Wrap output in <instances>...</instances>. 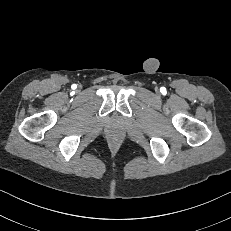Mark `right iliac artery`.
Returning a JSON list of instances; mask_svg holds the SVG:
<instances>
[{
	"instance_id": "82829eb1",
	"label": "right iliac artery",
	"mask_w": 231,
	"mask_h": 231,
	"mask_svg": "<svg viewBox=\"0 0 231 231\" xmlns=\"http://www.w3.org/2000/svg\"><path fill=\"white\" fill-rule=\"evenodd\" d=\"M73 88H76V85H73Z\"/></svg>"
}]
</instances>
